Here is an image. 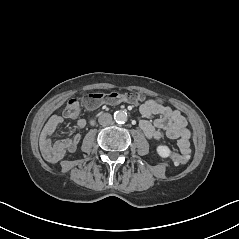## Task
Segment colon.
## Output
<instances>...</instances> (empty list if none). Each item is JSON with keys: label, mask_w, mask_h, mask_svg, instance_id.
I'll list each match as a JSON object with an SVG mask.
<instances>
[{"label": "colon", "mask_w": 239, "mask_h": 239, "mask_svg": "<svg viewBox=\"0 0 239 239\" xmlns=\"http://www.w3.org/2000/svg\"><path fill=\"white\" fill-rule=\"evenodd\" d=\"M143 96L139 93L128 92V93H118V92H110V93H103V92H95L88 95L83 101L78 99H71L64 110V115L68 118H75L79 116L81 112L82 104L86 107H94L99 106L103 103L109 104H118L121 102H131L137 103L143 100ZM171 159L176 164H184L188 162L189 156L188 155H181L177 153L171 154Z\"/></svg>", "instance_id": "colon-1"}]
</instances>
